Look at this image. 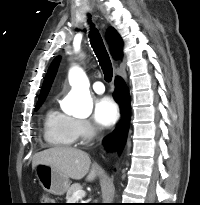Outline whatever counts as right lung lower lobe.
Returning <instances> with one entry per match:
<instances>
[{
  "mask_svg": "<svg viewBox=\"0 0 200 205\" xmlns=\"http://www.w3.org/2000/svg\"><path fill=\"white\" fill-rule=\"evenodd\" d=\"M115 86L116 90L113 96L115 101L121 106L122 118L113 133L105 139L104 144L107 149H115L120 152L124 146L128 133L130 120V99L128 89L122 78H115Z\"/></svg>",
  "mask_w": 200,
  "mask_h": 205,
  "instance_id": "right-lung-lower-lobe-1",
  "label": "right lung lower lobe"
}]
</instances>
